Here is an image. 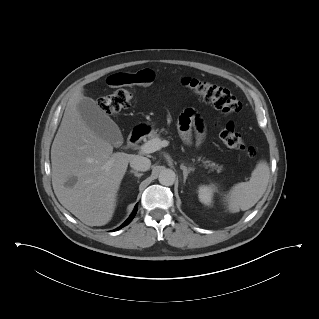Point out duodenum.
<instances>
[{
  "instance_id": "410a0bca",
  "label": "duodenum",
  "mask_w": 319,
  "mask_h": 319,
  "mask_svg": "<svg viewBox=\"0 0 319 319\" xmlns=\"http://www.w3.org/2000/svg\"><path fill=\"white\" fill-rule=\"evenodd\" d=\"M147 132L145 127H140L133 130L128 136V144L134 145L136 144Z\"/></svg>"
}]
</instances>
